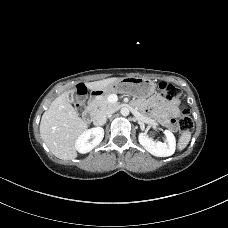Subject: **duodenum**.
<instances>
[{"label": "duodenum", "instance_id": "obj_1", "mask_svg": "<svg viewBox=\"0 0 228 228\" xmlns=\"http://www.w3.org/2000/svg\"><path fill=\"white\" fill-rule=\"evenodd\" d=\"M100 94H101L100 92H97L90 98L89 103L87 105V108L84 111V115H83V118H84V120L86 122H90L91 121V108H92V105H93V102H94L95 98L97 96H99Z\"/></svg>", "mask_w": 228, "mask_h": 228}]
</instances>
